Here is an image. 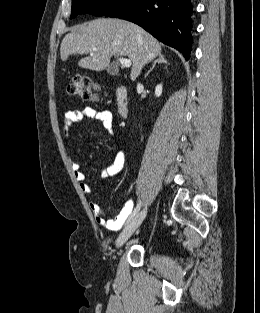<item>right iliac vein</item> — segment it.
Instances as JSON below:
<instances>
[{
    "label": "right iliac vein",
    "mask_w": 260,
    "mask_h": 313,
    "mask_svg": "<svg viewBox=\"0 0 260 313\" xmlns=\"http://www.w3.org/2000/svg\"><path fill=\"white\" fill-rule=\"evenodd\" d=\"M147 207L142 209L133 219L132 221L123 229L121 234L117 239V247H122L127 240L131 237V235L135 232V230L141 225L142 221L146 217Z\"/></svg>",
    "instance_id": "right-iliac-vein-1"
}]
</instances>
